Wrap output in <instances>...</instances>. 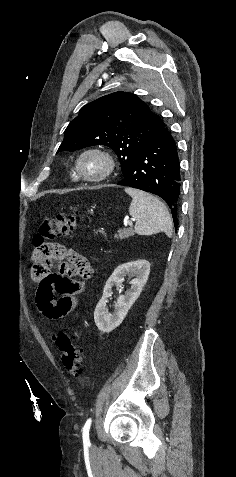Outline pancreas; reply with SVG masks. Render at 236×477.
<instances>
[{"mask_svg": "<svg viewBox=\"0 0 236 477\" xmlns=\"http://www.w3.org/2000/svg\"><path fill=\"white\" fill-rule=\"evenodd\" d=\"M134 235V231L132 228L130 229H125L123 231H119L118 234H116L114 237L116 239L120 238V239H125V238H128L129 236H133Z\"/></svg>", "mask_w": 236, "mask_h": 477, "instance_id": "pancreas-1", "label": "pancreas"}]
</instances>
